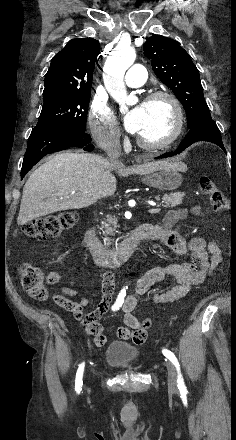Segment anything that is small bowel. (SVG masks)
<instances>
[{
	"mask_svg": "<svg viewBox=\"0 0 236 440\" xmlns=\"http://www.w3.org/2000/svg\"><path fill=\"white\" fill-rule=\"evenodd\" d=\"M190 212L197 214L200 208L193 207ZM188 214L187 209L170 211L161 225L154 226L152 238L169 248L175 255L186 257L187 260L151 268L139 277L135 293L124 298L122 304L125 325L117 329V335L120 338L125 340L146 338V331L142 330L141 323L133 311L137 305L138 296L145 294L154 284L168 276L174 277L178 282L177 285L164 292L153 294V301L157 304L174 302L185 297L193 286L202 283L207 276L213 275L221 263L222 253L214 241L207 244L200 237H193L188 242L182 239L177 223L185 219ZM58 280L59 274L55 271L47 276V283L50 286H54ZM101 290L102 297L98 306L86 317L83 316V310L89 304V299L79 290L62 287L53 293V299L58 306L71 312L77 320H83L82 329L86 330L87 335L92 337L97 346L104 345L107 340L102 334L98 321L107 312L112 301L114 292L112 273L104 274ZM134 342L140 344L143 340Z\"/></svg>",
	"mask_w": 236,
	"mask_h": 440,
	"instance_id": "small-bowel-1",
	"label": "small bowel"
}]
</instances>
